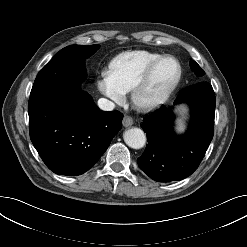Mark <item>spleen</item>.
Returning a JSON list of instances; mask_svg holds the SVG:
<instances>
[{"instance_id": "spleen-1", "label": "spleen", "mask_w": 247, "mask_h": 247, "mask_svg": "<svg viewBox=\"0 0 247 247\" xmlns=\"http://www.w3.org/2000/svg\"><path fill=\"white\" fill-rule=\"evenodd\" d=\"M176 122H177L176 131L178 133L183 132L185 130V125L183 123V119H178Z\"/></svg>"}]
</instances>
